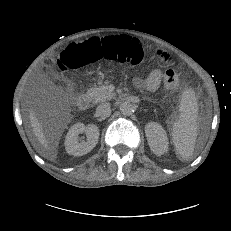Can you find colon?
Instances as JSON below:
<instances>
[{"instance_id": "5ec220e1", "label": "colon", "mask_w": 231, "mask_h": 231, "mask_svg": "<svg viewBox=\"0 0 231 231\" xmlns=\"http://www.w3.org/2000/svg\"><path fill=\"white\" fill-rule=\"evenodd\" d=\"M102 59L130 65L146 61L141 43L132 36L120 35L92 38L85 43L71 45L55 59V65L67 72ZM164 84L168 89L178 88L180 74L174 69H167Z\"/></svg>"}]
</instances>
